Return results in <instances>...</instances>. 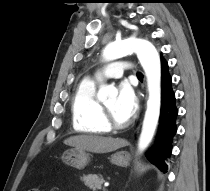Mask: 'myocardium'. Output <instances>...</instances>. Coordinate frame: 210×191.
Returning <instances> with one entry per match:
<instances>
[{"label": "myocardium", "instance_id": "obj_1", "mask_svg": "<svg viewBox=\"0 0 210 191\" xmlns=\"http://www.w3.org/2000/svg\"><path fill=\"white\" fill-rule=\"evenodd\" d=\"M103 121L109 130H120L128 127L130 125V121H126L123 123L118 122L109 109L105 106L104 103H101Z\"/></svg>", "mask_w": 210, "mask_h": 191}]
</instances>
